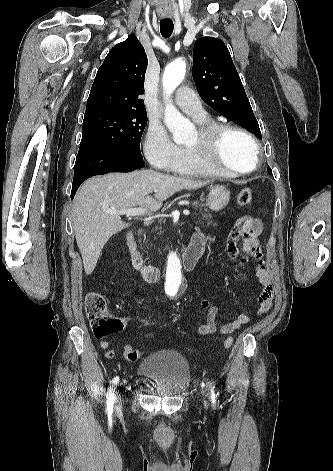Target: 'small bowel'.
I'll use <instances>...</instances> for the list:
<instances>
[{
	"instance_id": "obj_1",
	"label": "small bowel",
	"mask_w": 333,
	"mask_h": 471,
	"mask_svg": "<svg viewBox=\"0 0 333 471\" xmlns=\"http://www.w3.org/2000/svg\"><path fill=\"white\" fill-rule=\"evenodd\" d=\"M261 232L262 222L259 219L245 216L237 220L227 237L228 254L238 265L246 264L249 258L258 261L254 268L255 275L262 286V290L257 297L258 315L266 313L271 308L274 297L272 278L262 260V250L258 240ZM192 239H202L205 243V237L201 233L195 234ZM202 306L206 310L205 319L198 326V333L202 336L212 335L217 332L223 336L230 335L251 319L248 312H243L233 321L218 327L216 322L218 309L211 305L208 300H203ZM132 320L139 321L142 325L149 324L147 320L140 318H132ZM99 345L105 351L107 358L111 359L115 356V352L109 348L108 341L103 340Z\"/></svg>"
}]
</instances>
